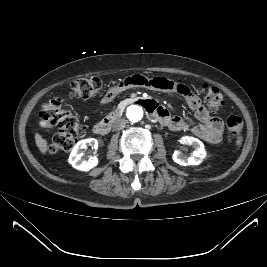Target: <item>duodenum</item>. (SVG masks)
Segmentation results:
<instances>
[{"label": "duodenum", "instance_id": "duodenum-1", "mask_svg": "<svg viewBox=\"0 0 267 267\" xmlns=\"http://www.w3.org/2000/svg\"><path fill=\"white\" fill-rule=\"evenodd\" d=\"M131 103H139V104L143 105L145 108H147L150 112L153 113V116L159 118L158 110H157L158 107H156V105H155V103L153 101H151V100L132 99ZM120 115H121V110L117 109L111 115H109L108 117H106L102 121L96 123L94 128H93L94 133L98 134V135L107 134L110 131L113 122Z\"/></svg>", "mask_w": 267, "mask_h": 267}]
</instances>
